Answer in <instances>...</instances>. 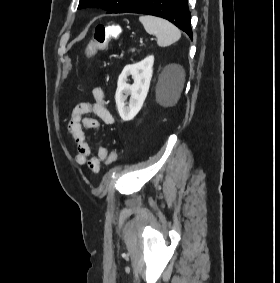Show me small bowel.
<instances>
[{"mask_svg":"<svg viewBox=\"0 0 280 283\" xmlns=\"http://www.w3.org/2000/svg\"><path fill=\"white\" fill-rule=\"evenodd\" d=\"M93 97L95 99L94 103L81 102L73 108L66 130L76 145V162L79 165L86 164L92 172L98 173L101 162L108 160L110 152L106 147L101 146L97 155H92L90 144L86 141L84 129L97 131L100 127V121L106 125H112L114 118L105 104L102 88H94ZM88 114H93L96 118L86 117Z\"/></svg>","mask_w":280,"mask_h":283,"instance_id":"1","label":"small bowel"}]
</instances>
